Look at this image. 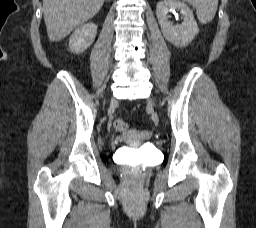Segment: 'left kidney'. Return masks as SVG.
Masks as SVG:
<instances>
[{"label": "left kidney", "instance_id": "obj_1", "mask_svg": "<svg viewBox=\"0 0 256 228\" xmlns=\"http://www.w3.org/2000/svg\"><path fill=\"white\" fill-rule=\"evenodd\" d=\"M178 10L184 16L181 25L174 26L169 21L168 13ZM156 16L163 36L177 47H185L195 38L199 29L192 10L183 2L177 0H163L156 6Z\"/></svg>", "mask_w": 256, "mask_h": 228}]
</instances>
